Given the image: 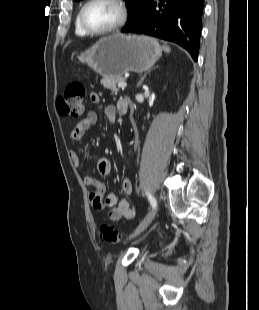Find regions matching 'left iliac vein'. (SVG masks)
<instances>
[{"mask_svg":"<svg viewBox=\"0 0 259 310\" xmlns=\"http://www.w3.org/2000/svg\"><path fill=\"white\" fill-rule=\"evenodd\" d=\"M159 208V204H156V207H154L149 213L148 215L144 218V220L140 223V225L135 229V231L131 234L130 238H133L137 235H139L140 233H142L148 226L149 224L152 222V220L154 219V217L157 214Z\"/></svg>","mask_w":259,"mask_h":310,"instance_id":"4c4485c4","label":"left iliac vein"}]
</instances>
